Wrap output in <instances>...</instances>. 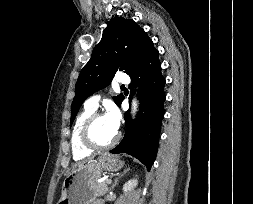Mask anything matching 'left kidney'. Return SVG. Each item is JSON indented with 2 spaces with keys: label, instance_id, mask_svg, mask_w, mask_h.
Returning a JSON list of instances; mask_svg holds the SVG:
<instances>
[{
  "label": "left kidney",
  "instance_id": "obj_1",
  "mask_svg": "<svg viewBox=\"0 0 253 204\" xmlns=\"http://www.w3.org/2000/svg\"><path fill=\"white\" fill-rule=\"evenodd\" d=\"M138 184V181L137 179H131L129 181H127L124 185H123V191L126 193V192H129L131 190L134 189V187H136V185Z\"/></svg>",
  "mask_w": 253,
  "mask_h": 204
}]
</instances>
